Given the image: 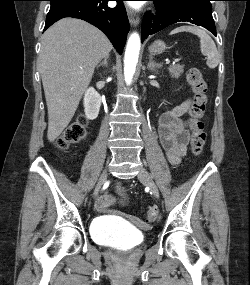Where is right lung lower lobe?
I'll return each mask as SVG.
<instances>
[{
  "label": "right lung lower lobe",
  "mask_w": 250,
  "mask_h": 285,
  "mask_svg": "<svg viewBox=\"0 0 250 285\" xmlns=\"http://www.w3.org/2000/svg\"><path fill=\"white\" fill-rule=\"evenodd\" d=\"M108 1L88 0L50 9L44 30L61 18H79L93 24L107 35L114 48L121 55L129 31V22L122 3L124 0H116L117 6L115 8H109L107 6Z\"/></svg>",
  "instance_id": "1"
}]
</instances>
